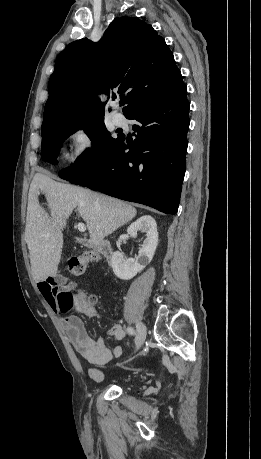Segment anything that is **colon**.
<instances>
[{
  "instance_id": "obj_1",
  "label": "colon",
  "mask_w": 261,
  "mask_h": 459,
  "mask_svg": "<svg viewBox=\"0 0 261 459\" xmlns=\"http://www.w3.org/2000/svg\"><path fill=\"white\" fill-rule=\"evenodd\" d=\"M92 261V257L89 254H86L81 257H71L67 260V269L70 274L78 276L82 275L85 272L87 264ZM97 299L94 294L91 293H79L76 296L72 294L66 295L61 304V309L63 313H68V311L76 305L80 310L95 308Z\"/></svg>"
}]
</instances>
